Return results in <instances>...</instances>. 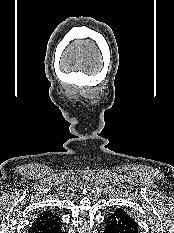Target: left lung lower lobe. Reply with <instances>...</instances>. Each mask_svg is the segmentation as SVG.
Wrapping results in <instances>:
<instances>
[{"instance_id":"obj_1","label":"left lung lower lobe","mask_w":174,"mask_h":233,"mask_svg":"<svg viewBox=\"0 0 174 233\" xmlns=\"http://www.w3.org/2000/svg\"><path fill=\"white\" fill-rule=\"evenodd\" d=\"M103 233H139L138 224L126 213L115 211L104 218Z\"/></svg>"}]
</instances>
